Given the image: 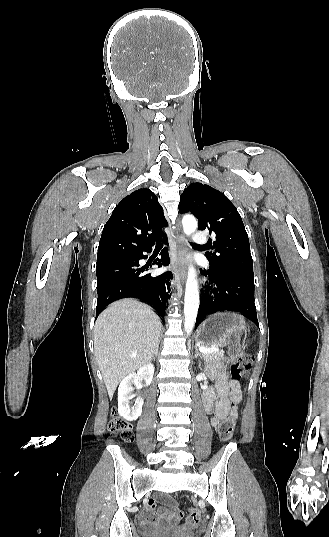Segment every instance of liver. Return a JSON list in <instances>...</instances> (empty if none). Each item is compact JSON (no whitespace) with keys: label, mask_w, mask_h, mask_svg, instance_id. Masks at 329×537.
Instances as JSON below:
<instances>
[{"label":"liver","mask_w":329,"mask_h":537,"mask_svg":"<svg viewBox=\"0 0 329 537\" xmlns=\"http://www.w3.org/2000/svg\"><path fill=\"white\" fill-rule=\"evenodd\" d=\"M160 332L159 317L135 299L114 302L99 315L94 351L110 399L122 378L151 362Z\"/></svg>","instance_id":"6515ba94"}]
</instances>
